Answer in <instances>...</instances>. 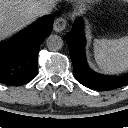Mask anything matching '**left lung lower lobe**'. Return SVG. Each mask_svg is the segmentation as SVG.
<instances>
[{
	"label": "left lung lower lobe",
	"mask_w": 128,
	"mask_h": 128,
	"mask_svg": "<svg viewBox=\"0 0 128 128\" xmlns=\"http://www.w3.org/2000/svg\"><path fill=\"white\" fill-rule=\"evenodd\" d=\"M75 78L84 86L98 91L116 89L128 84V76L112 77L93 71L87 63L85 55V36L83 23L77 20L66 36Z\"/></svg>",
	"instance_id": "0a47b994"
}]
</instances>
